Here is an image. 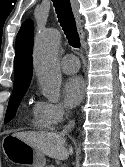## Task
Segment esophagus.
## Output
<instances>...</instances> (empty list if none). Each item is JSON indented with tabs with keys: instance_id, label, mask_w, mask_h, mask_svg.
<instances>
[{
	"instance_id": "1",
	"label": "esophagus",
	"mask_w": 125,
	"mask_h": 167,
	"mask_svg": "<svg viewBox=\"0 0 125 167\" xmlns=\"http://www.w3.org/2000/svg\"><path fill=\"white\" fill-rule=\"evenodd\" d=\"M70 2H71V7H72L73 15L75 18V22H76L77 31L80 36L82 45L84 47L85 33L82 27V20L79 12V4L77 0H70Z\"/></svg>"
}]
</instances>
